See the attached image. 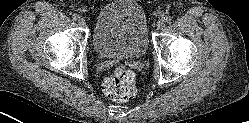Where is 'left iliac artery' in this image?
<instances>
[{"instance_id": "left-iliac-artery-1", "label": "left iliac artery", "mask_w": 249, "mask_h": 123, "mask_svg": "<svg viewBox=\"0 0 249 123\" xmlns=\"http://www.w3.org/2000/svg\"><path fill=\"white\" fill-rule=\"evenodd\" d=\"M164 20H165L166 23H171L172 17L167 15V16L164 17Z\"/></svg>"}]
</instances>
